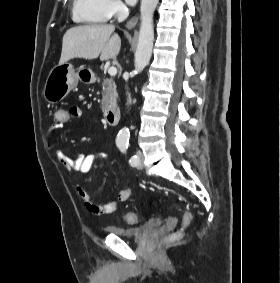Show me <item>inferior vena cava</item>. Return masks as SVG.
Masks as SVG:
<instances>
[{
	"label": "inferior vena cava",
	"instance_id": "inferior-vena-cava-1",
	"mask_svg": "<svg viewBox=\"0 0 280 283\" xmlns=\"http://www.w3.org/2000/svg\"><path fill=\"white\" fill-rule=\"evenodd\" d=\"M131 103H132V100H131L130 94L128 93L127 104H131Z\"/></svg>",
	"mask_w": 280,
	"mask_h": 283
}]
</instances>
